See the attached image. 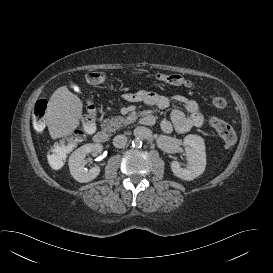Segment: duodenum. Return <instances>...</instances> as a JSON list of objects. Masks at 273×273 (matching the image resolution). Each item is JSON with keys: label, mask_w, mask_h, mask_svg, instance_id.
Instances as JSON below:
<instances>
[{"label": "duodenum", "mask_w": 273, "mask_h": 273, "mask_svg": "<svg viewBox=\"0 0 273 273\" xmlns=\"http://www.w3.org/2000/svg\"><path fill=\"white\" fill-rule=\"evenodd\" d=\"M154 122H155V119H154V116L152 115H145L140 118V123L142 125L150 126L154 124ZM93 139L98 144H104L108 141L109 136L105 130L100 129L93 134Z\"/></svg>", "instance_id": "1"}]
</instances>
